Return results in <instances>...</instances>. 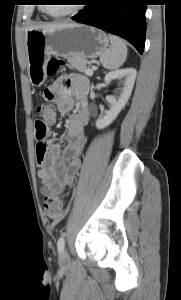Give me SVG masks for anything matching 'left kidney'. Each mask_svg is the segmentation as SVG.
Instances as JSON below:
<instances>
[{
	"label": "left kidney",
	"instance_id": "5707ae66",
	"mask_svg": "<svg viewBox=\"0 0 181 300\" xmlns=\"http://www.w3.org/2000/svg\"><path fill=\"white\" fill-rule=\"evenodd\" d=\"M136 74L137 72L133 68L120 69L106 74L104 79L106 84H109L112 80H119L122 87L119 89V96L117 98L112 95L106 97L110 107L109 110H106L96 120V127L98 129H104L110 125L125 107L134 87Z\"/></svg>",
	"mask_w": 181,
	"mask_h": 300
}]
</instances>
